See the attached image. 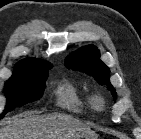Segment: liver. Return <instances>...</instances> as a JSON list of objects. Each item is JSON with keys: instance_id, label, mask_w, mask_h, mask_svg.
I'll use <instances>...</instances> for the list:
<instances>
[{"instance_id": "1", "label": "liver", "mask_w": 141, "mask_h": 139, "mask_svg": "<svg viewBox=\"0 0 141 139\" xmlns=\"http://www.w3.org/2000/svg\"><path fill=\"white\" fill-rule=\"evenodd\" d=\"M89 132L90 127L67 114L25 112L7 120L0 139H76Z\"/></svg>"}]
</instances>
